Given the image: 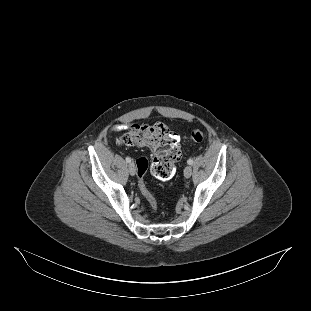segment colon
<instances>
[{"instance_id": "5ec220e1", "label": "colon", "mask_w": 311, "mask_h": 311, "mask_svg": "<svg viewBox=\"0 0 311 311\" xmlns=\"http://www.w3.org/2000/svg\"><path fill=\"white\" fill-rule=\"evenodd\" d=\"M190 135L195 142H201L204 139L203 131L198 128L192 129ZM118 142L124 146L147 147L154 153L151 165L145 157H139L136 160V165L139 188L151 208L156 211L157 201L147 189L144 176L149 166L153 175L160 180L166 181L174 176V163L181 157L176 134L161 123L153 125L136 124Z\"/></svg>"}]
</instances>
